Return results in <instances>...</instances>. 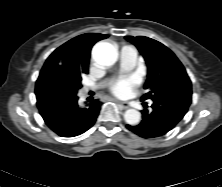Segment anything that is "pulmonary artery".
Listing matches in <instances>:
<instances>
[{"label": "pulmonary artery", "instance_id": "obj_1", "mask_svg": "<svg viewBox=\"0 0 222 187\" xmlns=\"http://www.w3.org/2000/svg\"><path fill=\"white\" fill-rule=\"evenodd\" d=\"M120 58L122 70L129 71L136 64L137 52L131 46H123L120 50Z\"/></svg>", "mask_w": 222, "mask_h": 187}]
</instances>
